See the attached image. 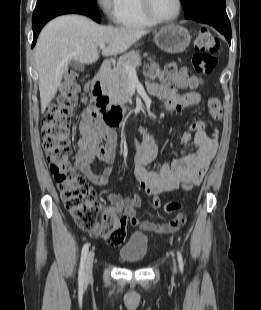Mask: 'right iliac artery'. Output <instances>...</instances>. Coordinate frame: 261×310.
Here are the masks:
<instances>
[{
  "instance_id": "right-iliac-artery-1",
  "label": "right iliac artery",
  "mask_w": 261,
  "mask_h": 310,
  "mask_svg": "<svg viewBox=\"0 0 261 310\" xmlns=\"http://www.w3.org/2000/svg\"><path fill=\"white\" fill-rule=\"evenodd\" d=\"M89 243H86L81 252V262H80V268H79V275H78V283L80 287H83L84 281H85V261L87 257V253L89 250Z\"/></svg>"
}]
</instances>
